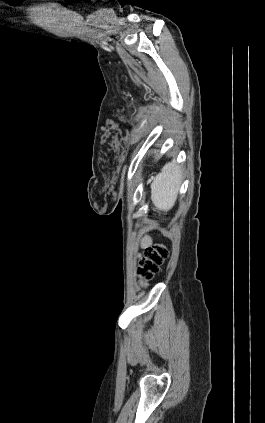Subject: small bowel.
Returning a JSON list of instances; mask_svg holds the SVG:
<instances>
[{"mask_svg": "<svg viewBox=\"0 0 265 423\" xmlns=\"http://www.w3.org/2000/svg\"><path fill=\"white\" fill-rule=\"evenodd\" d=\"M151 243H152V239H151V237H146V238L143 240V244H144V246H145V247H148Z\"/></svg>", "mask_w": 265, "mask_h": 423, "instance_id": "c3829d8e", "label": "small bowel"}]
</instances>
